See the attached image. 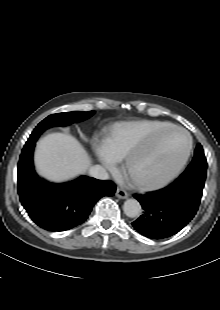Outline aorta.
Returning a JSON list of instances; mask_svg holds the SVG:
<instances>
[{
  "label": "aorta",
  "mask_w": 220,
  "mask_h": 310,
  "mask_svg": "<svg viewBox=\"0 0 220 310\" xmlns=\"http://www.w3.org/2000/svg\"><path fill=\"white\" fill-rule=\"evenodd\" d=\"M123 211L126 216L135 218L141 213V205L136 199H127L124 202Z\"/></svg>",
  "instance_id": "1"
}]
</instances>
